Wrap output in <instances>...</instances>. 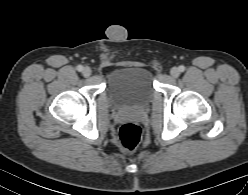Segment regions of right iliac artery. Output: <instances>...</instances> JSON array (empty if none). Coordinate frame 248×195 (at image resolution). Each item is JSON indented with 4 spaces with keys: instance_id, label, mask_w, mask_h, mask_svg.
Instances as JSON below:
<instances>
[{
    "instance_id": "82829eb1",
    "label": "right iliac artery",
    "mask_w": 248,
    "mask_h": 195,
    "mask_svg": "<svg viewBox=\"0 0 248 195\" xmlns=\"http://www.w3.org/2000/svg\"><path fill=\"white\" fill-rule=\"evenodd\" d=\"M77 70L81 72L83 70V66L82 65H78L77 66Z\"/></svg>"
}]
</instances>
